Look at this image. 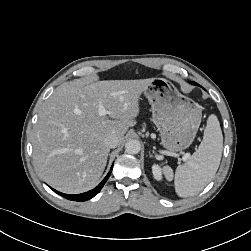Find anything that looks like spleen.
Returning <instances> with one entry per match:
<instances>
[{"label": "spleen", "mask_w": 251, "mask_h": 251, "mask_svg": "<svg viewBox=\"0 0 251 251\" xmlns=\"http://www.w3.org/2000/svg\"><path fill=\"white\" fill-rule=\"evenodd\" d=\"M223 150V135L216 115L208 117L204 136L189 161L179 165L175 175L169 166L163 168L168 181L174 177L175 191L179 197L197 195L216 174Z\"/></svg>", "instance_id": "obj_1"}]
</instances>
